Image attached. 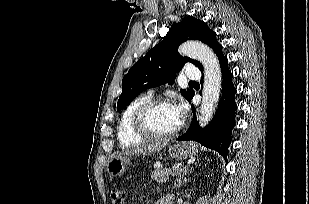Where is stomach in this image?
Wrapping results in <instances>:
<instances>
[{"label":"stomach","instance_id":"obj_1","mask_svg":"<svg viewBox=\"0 0 309 204\" xmlns=\"http://www.w3.org/2000/svg\"><path fill=\"white\" fill-rule=\"evenodd\" d=\"M169 155L175 159L184 160L198 152V146L193 142L175 143L168 147ZM131 155H117L107 164L109 175L118 177L123 175L131 166Z\"/></svg>","mask_w":309,"mask_h":204}]
</instances>
